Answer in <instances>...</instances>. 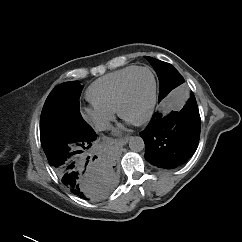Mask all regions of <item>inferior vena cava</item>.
I'll return each instance as SVG.
<instances>
[{"instance_id": "1", "label": "inferior vena cava", "mask_w": 242, "mask_h": 242, "mask_svg": "<svg viewBox=\"0 0 242 242\" xmlns=\"http://www.w3.org/2000/svg\"><path fill=\"white\" fill-rule=\"evenodd\" d=\"M112 127V125L109 122H100L96 125V128L99 131H104L106 129H110Z\"/></svg>"}]
</instances>
